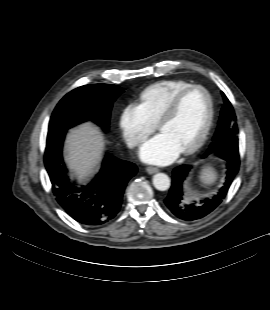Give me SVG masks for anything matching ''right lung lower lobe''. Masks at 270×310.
<instances>
[{"instance_id": "98d812e1", "label": "right lung lower lobe", "mask_w": 270, "mask_h": 310, "mask_svg": "<svg viewBox=\"0 0 270 310\" xmlns=\"http://www.w3.org/2000/svg\"><path fill=\"white\" fill-rule=\"evenodd\" d=\"M66 131L49 130L45 166L52 191L61 207L77 222L100 225L118 213L127 182L136 172L135 164L107 154L102 168L87 186H78L66 175L62 145Z\"/></svg>"}]
</instances>
